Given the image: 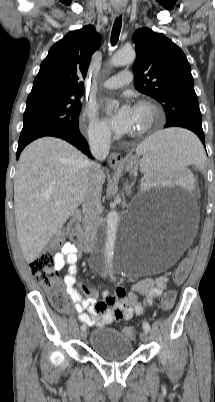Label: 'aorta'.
<instances>
[{
    "mask_svg": "<svg viewBox=\"0 0 215 402\" xmlns=\"http://www.w3.org/2000/svg\"><path fill=\"white\" fill-rule=\"evenodd\" d=\"M136 54L132 48H124L117 51L113 57L110 59V65L118 67L131 64L134 62ZM113 101L112 104H116ZM118 221V214L116 211H111L107 216V225L105 232L102 234L101 239L97 246L96 256L107 263L109 266L120 264V254L118 252L117 246L115 245L116 240V226Z\"/></svg>",
    "mask_w": 215,
    "mask_h": 402,
    "instance_id": "obj_1",
    "label": "aorta"
}]
</instances>
